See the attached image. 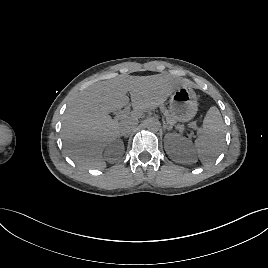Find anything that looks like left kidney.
I'll return each mask as SVG.
<instances>
[{"mask_svg":"<svg viewBox=\"0 0 268 268\" xmlns=\"http://www.w3.org/2000/svg\"><path fill=\"white\" fill-rule=\"evenodd\" d=\"M164 148L169 157L175 162L182 164L197 162L192 142L179 134H167Z\"/></svg>","mask_w":268,"mask_h":268,"instance_id":"1","label":"left kidney"}]
</instances>
